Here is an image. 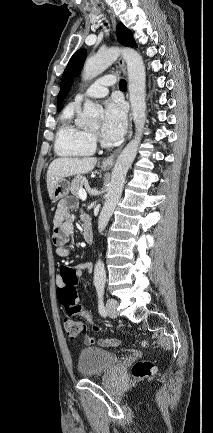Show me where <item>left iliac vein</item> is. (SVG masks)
I'll list each match as a JSON object with an SVG mask.
<instances>
[{
  "label": "left iliac vein",
  "instance_id": "1",
  "mask_svg": "<svg viewBox=\"0 0 213 433\" xmlns=\"http://www.w3.org/2000/svg\"><path fill=\"white\" fill-rule=\"evenodd\" d=\"M117 306H118V302L115 299L110 298L107 300L106 307H107V313L109 317L111 318L117 317Z\"/></svg>",
  "mask_w": 213,
  "mask_h": 433
}]
</instances>
